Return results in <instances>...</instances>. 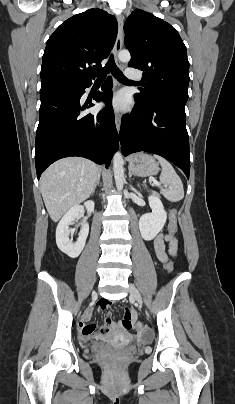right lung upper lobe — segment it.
Segmentation results:
<instances>
[{"label":"right lung upper lobe","instance_id":"cb5924a9","mask_svg":"<svg viewBox=\"0 0 235 404\" xmlns=\"http://www.w3.org/2000/svg\"><path fill=\"white\" fill-rule=\"evenodd\" d=\"M117 21L104 10L89 9L62 23L47 41L41 84L91 81L109 55L117 35Z\"/></svg>","mask_w":235,"mask_h":404}]
</instances>
